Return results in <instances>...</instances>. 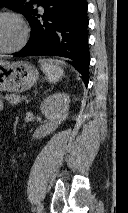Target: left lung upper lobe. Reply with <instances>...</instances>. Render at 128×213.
Here are the masks:
<instances>
[{
    "label": "left lung upper lobe",
    "instance_id": "5c2ea615",
    "mask_svg": "<svg viewBox=\"0 0 128 213\" xmlns=\"http://www.w3.org/2000/svg\"><path fill=\"white\" fill-rule=\"evenodd\" d=\"M37 1L38 0H0V7H8L20 12L30 21Z\"/></svg>",
    "mask_w": 128,
    "mask_h": 213
}]
</instances>
